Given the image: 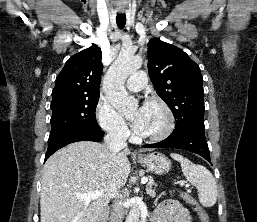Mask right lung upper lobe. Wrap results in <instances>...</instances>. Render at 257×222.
Listing matches in <instances>:
<instances>
[{"label": "right lung upper lobe", "mask_w": 257, "mask_h": 222, "mask_svg": "<svg viewBox=\"0 0 257 222\" xmlns=\"http://www.w3.org/2000/svg\"><path fill=\"white\" fill-rule=\"evenodd\" d=\"M102 52L97 45L73 55L56 77L52 101L81 99L100 94Z\"/></svg>", "instance_id": "obj_1"}]
</instances>
